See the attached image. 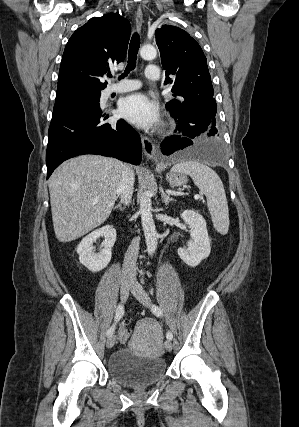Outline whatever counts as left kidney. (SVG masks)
Instances as JSON below:
<instances>
[{
	"label": "left kidney",
	"mask_w": 299,
	"mask_h": 427,
	"mask_svg": "<svg viewBox=\"0 0 299 427\" xmlns=\"http://www.w3.org/2000/svg\"><path fill=\"white\" fill-rule=\"evenodd\" d=\"M180 217L191 227V239L187 247L178 249V255L187 265L195 267L211 252L206 221L202 215L193 210H185Z\"/></svg>",
	"instance_id": "1"
}]
</instances>
